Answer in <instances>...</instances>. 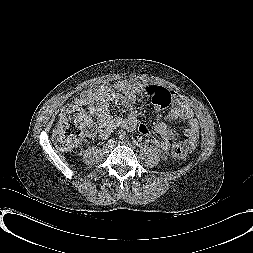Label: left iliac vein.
<instances>
[{
	"label": "left iliac vein",
	"instance_id": "obj_1",
	"mask_svg": "<svg viewBox=\"0 0 253 253\" xmlns=\"http://www.w3.org/2000/svg\"><path fill=\"white\" fill-rule=\"evenodd\" d=\"M121 143L126 145V146H131V143L129 141H124V142H121Z\"/></svg>",
	"mask_w": 253,
	"mask_h": 253
}]
</instances>
